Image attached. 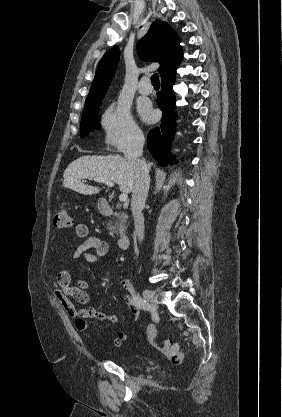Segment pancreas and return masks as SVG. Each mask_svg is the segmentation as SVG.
I'll use <instances>...</instances> for the list:
<instances>
[{"label": "pancreas", "instance_id": "obj_1", "mask_svg": "<svg viewBox=\"0 0 282 417\" xmlns=\"http://www.w3.org/2000/svg\"><path fill=\"white\" fill-rule=\"evenodd\" d=\"M117 209H120V206H117ZM116 217L117 219L114 221L115 225L113 221H109V223H107L108 231H110V235L111 237H114V239L115 235L118 237V227H124V223H126L128 215H126V213H118Z\"/></svg>", "mask_w": 282, "mask_h": 417}]
</instances>
